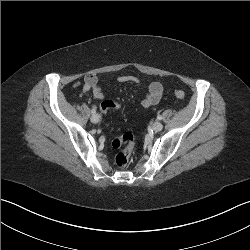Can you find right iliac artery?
Masks as SVG:
<instances>
[{
	"label": "right iliac artery",
	"mask_w": 250,
	"mask_h": 250,
	"mask_svg": "<svg viewBox=\"0 0 250 250\" xmlns=\"http://www.w3.org/2000/svg\"><path fill=\"white\" fill-rule=\"evenodd\" d=\"M91 113H92V114H95V113H96V109L93 108V109L91 110Z\"/></svg>",
	"instance_id": "right-iliac-artery-1"
}]
</instances>
